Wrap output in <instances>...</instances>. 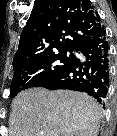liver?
<instances>
[{"mask_svg": "<svg viewBox=\"0 0 117 136\" xmlns=\"http://www.w3.org/2000/svg\"><path fill=\"white\" fill-rule=\"evenodd\" d=\"M102 110L90 96L31 88L12 102L10 136H97Z\"/></svg>", "mask_w": 117, "mask_h": 136, "instance_id": "6515ba94", "label": "liver"}]
</instances>
